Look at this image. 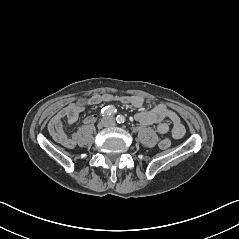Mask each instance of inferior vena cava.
Masks as SVG:
<instances>
[{"mask_svg": "<svg viewBox=\"0 0 239 239\" xmlns=\"http://www.w3.org/2000/svg\"><path fill=\"white\" fill-rule=\"evenodd\" d=\"M102 124L105 127H113L116 124V119L113 116H105L102 119Z\"/></svg>", "mask_w": 239, "mask_h": 239, "instance_id": "inferior-vena-cava-1", "label": "inferior vena cava"}]
</instances>
